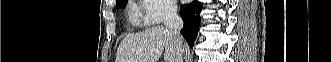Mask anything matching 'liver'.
<instances>
[{"mask_svg":"<svg viewBox=\"0 0 331 62\" xmlns=\"http://www.w3.org/2000/svg\"><path fill=\"white\" fill-rule=\"evenodd\" d=\"M164 49V62H176L171 34L163 26H153L127 35L118 47L115 62H158Z\"/></svg>","mask_w":331,"mask_h":62,"instance_id":"6515ba94","label":"liver"}]
</instances>
